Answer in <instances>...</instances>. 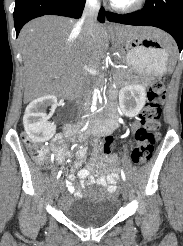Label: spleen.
Returning <instances> with one entry per match:
<instances>
[{
  "label": "spleen",
  "mask_w": 183,
  "mask_h": 246,
  "mask_svg": "<svg viewBox=\"0 0 183 246\" xmlns=\"http://www.w3.org/2000/svg\"><path fill=\"white\" fill-rule=\"evenodd\" d=\"M139 54L143 55V53H142V52L138 53V55H139Z\"/></svg>",
  "instance_id": "1"
}]
</instances>
